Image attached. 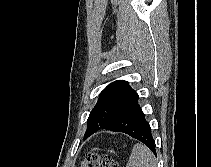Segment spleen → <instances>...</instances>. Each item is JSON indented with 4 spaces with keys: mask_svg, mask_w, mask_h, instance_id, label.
<instances>
[{
    "mask_svg": "<svg viewBox=\"0 0 211 167\" xmlns=\"http://www.w3.org/2000/svg\"><path fill=\"white\" fill-rule=\"evenodd\" d=\"M126 167H156L153 153L143 144L134 145Z\"/></svg>",
    "mask_w": 211,
    "mask_h": 167,
    "instance_id": "3e777b00",
    "label": "spleen"
}]
</instances>
